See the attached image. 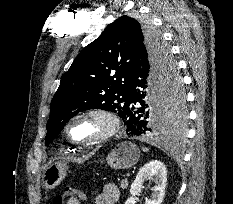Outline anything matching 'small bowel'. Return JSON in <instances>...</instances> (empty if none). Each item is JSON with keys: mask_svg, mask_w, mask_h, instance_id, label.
<instances>
[{"mask_svg": "<svg viewBox=\"0 0 233 204\" xmlns=\"http://www.w3.org/2000/svg\"><path fill=\"white\" fill-rule=\"evenodd\" d=\"M120 193L115 184L109 183L104 186L101 192L95 194V204H116L119 200Z\"/></svg>", "mask_w": 233, "mask_h": 204, "instance_id": "small-bowel-1", "label": "small bowel"}]
</instances>
